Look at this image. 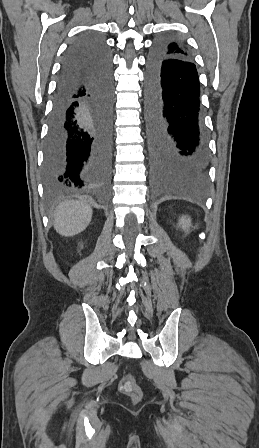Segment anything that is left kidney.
Returning <instances> with one entry per match:
<instances>
[{
    "instance_id": "1",
    "label": "left kidney",
    "mask_w": 259,
    "mask_h": 448,
    "mask_svg": "<svg viewBox=\"0 0 259 448\" xmlns=\"http://www.w3.org/2000/svg\"><path fill=\"white\" fill-rule=\"evenodd\" d=\"M179 226H181L182 230H187L188 232V228H190L191 226L190 218H188V216H183V218H181L180 220Z\"/></svg>"
}]
</instances>
